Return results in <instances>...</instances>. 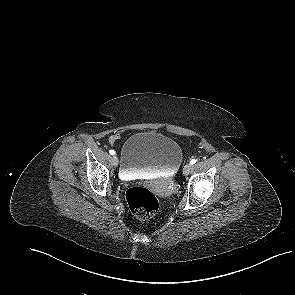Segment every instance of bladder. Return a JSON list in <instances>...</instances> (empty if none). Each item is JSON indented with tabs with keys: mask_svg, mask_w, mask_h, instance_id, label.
<instances>
[{
	"mask_svg": "<svg viewBox=\"0 0 295 295\" xmlns=\"http://www.w3.org/2000/svg\"><path fill=\"white\" fill-rule=\"evenodd\" d=\"M183 160L182 150L173 139L148 131L130 136L121 149V175L134 177L145 173L173 175Z\"/></svg>",
	"mask_w": 295,
	"mask_h": 295,
	"instance_id": "31cf9c89",
	"label": "bladder"
}]
</instances>
